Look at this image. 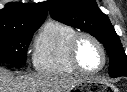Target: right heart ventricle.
<instances>
[{"label": "right heart ventricle", "instance_id": "obj_1", "mask_svg": "<svg viewBox=\"0 0 127 92\" xmlns=\"http://www.w3.org/2000/svg\"><path fill=\"white\" fill-rule=\"evenodd\" d=\"M77 31L57 20L47 21L36 36L32 63L36 71L50 75L77 73L69 61L68 47Z\"/></svg>", "mask_w": 127, "mask_h": 92}]
</instances>
